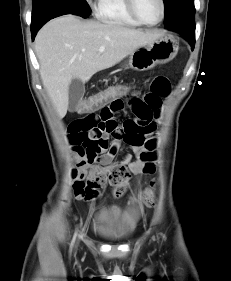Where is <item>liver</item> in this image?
<instances>
[{"mask_svg": "<svg viewBox=\"0 0 231 281\" xmlns=\"http://www.w3.org/2000/svg\"><path fill=\"white\" fill-rule=\"evenodd\" d=\"M160 31H142L115 22L82 21L63 15L46 23L35 39L44 88L60 118L68 110L69 85L74 78L87 82L98 71L110 68L139 47L154 42ZM105 47L100 53L99 48Z\"/></svg>", "mask_w": 231, "mask_h": 281, "instance_id": "1", "label": "liver"}]
</instances>
